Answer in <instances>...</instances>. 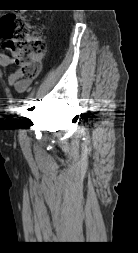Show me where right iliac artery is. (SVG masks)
Listing matches in <instances>:
<instances>
[{"instance_id": "1", "label": "right iliac artery", "mask_w": 138, "mask_h": 253, "mask_svg": "<svg viewBox=\"0 0 138 253\" xmlns=\"http://www.w3.org/2000/svg\"><path fill=\"white\" fill-rule=\"evenodd\" d=\"M32 94H28L26 100L24 101L22 114H21V123H24L25 115L27 111H30L31 101H32Z\"/></svg>"}]
</instances>
